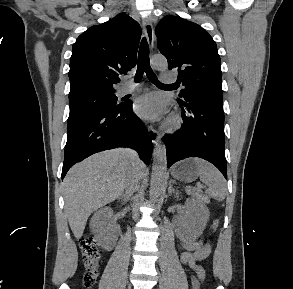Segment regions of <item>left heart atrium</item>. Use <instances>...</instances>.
I'll return each instance as SVG.
<instances>
[{
  "instance_id": "left-heart-atrium-1",
  "label": "left heart atrium",
  "mask_w": 293,
  "mask_h": 289,
  "mask_svg": "<svg viewBox=\"0 0 293 289\" xmlns=\"http://www.w3.org/2000/svg\"><path fill=\"white\" fill-rule=\"evenodd\" d=\"M135 112L142 118L156 120L166 111L165 101L157 93H148L140 96L135 102Z\"/></svg>"
}]
</instances>
